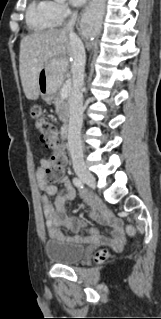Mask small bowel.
I'll return each mask as SVG.
<instances>
[{
    "label": "small bowel",
    "instance_id": "obj_1",
    "mask_svg": "<svg viewBox=\"0 0 161 319\" xmlns=\"http://www.w3.org/2000/svg\"><path fill=\"white\" fill-rule=\"evenodd\" d=\"M47 164V158L42 156L38 160V172L37 180L40 189L43 192L41 197V206L44 213L46 227L52 237L63 238L59 232L60 227H66L69 230H74L76 228H81L83 226L82 222H74L68 215L65 208V202L73 200L76 196L75 188L72 186L67 178H60L57 181L62 186V193L59 194L54 205L50 202L49 196L56 195L58 193V187L48 181L47 176L44 172V167ZM83 200L87 202L90 206L89 216L91 218H99L108 225V228L112 234L111 239L118 241L121 238L122 227L118 219L114 217H106L105 206L100 198H90L86 195H82ZM75 242L82 241H101L97 229L91 228L89 231V236L87 238L72 237L69 238Z\"/></svg>",
    "mask_w": 161,
    "mask_h": 319
}]
</instances>
